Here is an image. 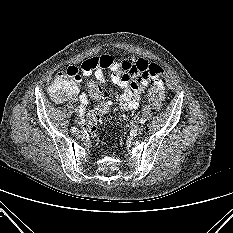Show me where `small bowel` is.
Masks as SVG:
<instances>
[{"mask_svg": "<svg viewBox=\"0 0 233 233\" xmlns=\"http://www.w3.org/2000/svg\"><path fill=\"white\" fill-rule=\"evenodd\" d=\"M104 69L111 71V80L121 90L119 93H115V97L123 111L139 107L141 95L150 81H155L162 86L160 77L163 70L160 66L144 59H134L128 55H123L117 60L111 54H103L85 60L80 68L69 66L65 72L73 79L74 93L67 100L79 101V122H83L85 106L89 103L87 94L80 91V73L84 76L93 74L97 81L106 84Z\"/></svg>", "mask_w": 233, "mask_h": 233, "instance_id": "c3829d8e", "label": "small bowel"}]
</instances>
